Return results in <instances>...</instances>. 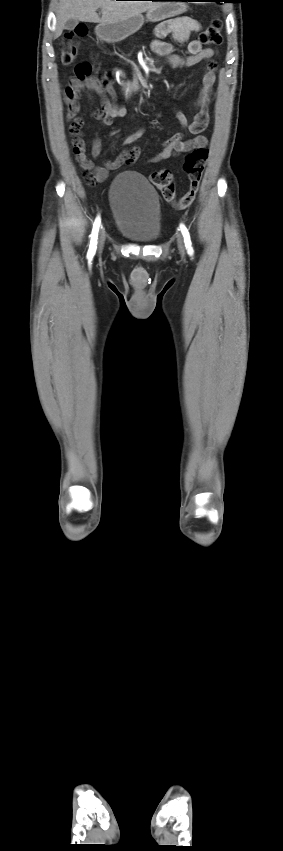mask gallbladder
I'll use <instances>...</instances> for the list:
<instances>
[{"instance_id": "obj_1", "label": "gallbladder", "mask_w": 283, "mask_h": 851, "mask_svg": "<svg viewBox=\"0 0 283 851\" xmlns=\"http://www.w3.org/2000/svg\"><path fill=\"white\" fill-rule=\"evenodd\" d=\"M77 24H78V20H76V19H69V20L65 23V25H64V29H66V30H73V29L77 26Z\"/></svg>"}]
</instances>
